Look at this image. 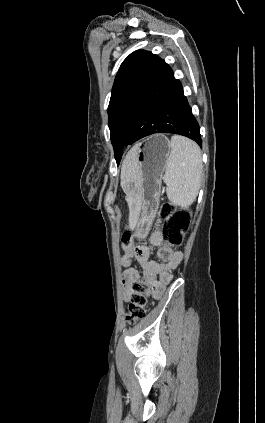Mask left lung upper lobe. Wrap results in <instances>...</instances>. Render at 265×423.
Here are the masks:
<instances>
[{
  "label": "left lung upper lobe",
  "instance_id": "obj_1",
  "mask_svg": "<svg viewBox=\"0 0 265 423\" xmlns=\"http://www.w3.org/2000/svg\"><path fill=\"white\" fill-rule=\"evenodd\" d=\"M156 55L144 50L131 53L121 64L112 88L108 107L111 142L120 162L131 111Z\"/></svg>",
  "mask_w": 265,
  "mask_h": 423
}]
</instances>
